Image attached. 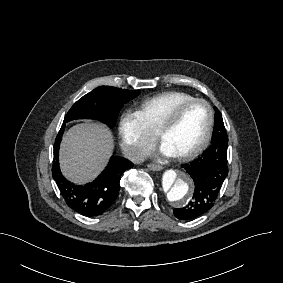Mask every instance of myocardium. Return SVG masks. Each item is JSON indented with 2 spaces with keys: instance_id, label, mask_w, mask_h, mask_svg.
Masks as SVG:
<instances>
[{
  "instance_id": "1",
  "label": "myocardium",
  "mask_w": 283,
  "mask_h": 283,
  "mask_svg": "<svg viewBox=\"0 0 283 283\" xmlns=\"http://www.w3.org/2000/svg\"><path fill=\"white\" fill-rule=\"evenodd\" d=\"M194 103H202L203 105H205L208 111V123H207L206 130L204 132V135L202 139L200 140V142L198 143V145L194 147L193 149H191L190 151L177 156V158L180 161H187L191 158H194L195 156L200 154L208 145L211 139L212 129L214 125V118H215L214 110L211 104L202 98H192V99L180 102L174 105L167 115L165 114L160 115L158 119V128L154 132L156 141L158 142V144H160V146H162L163 134L166 131L170 130L176 123L179 116L183 113V111L188 106Z\"/></svg>"
}]
</instances>
